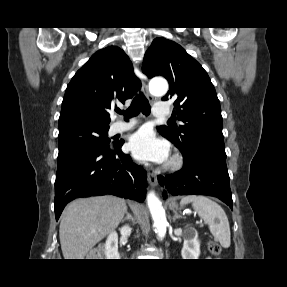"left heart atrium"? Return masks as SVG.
I'll list each match as a JSON object with an SVG mask.
<instances>
[{"mask_svg": "<svg viewBox=\"0 0 287 287\" xmlns=\"http://www.w3.org/2000/svg\"><path fill=\"white\" fill-rule=\"evenodd\" d=\"M128 148L132 155L140 161L164 162L169 155V148L165 141L156 138L153 131L141 128L131 135Z\"/></svg>", "mask_w": 287, "mask_h": 287, "instance_id": "39dd6f15", "label": "left heart atrium"}]
</instances>
